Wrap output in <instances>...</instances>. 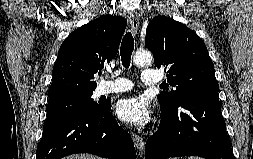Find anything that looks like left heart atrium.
Returning <instances> with one entry per match:
<instances>
[{"mask_svg":"<svg viewBox=\"0 0 253 159\" xmlns=\"http://www.w3.org/2000/svg\"><path fill=\"white\" fill-rule=\"evenodd\" d=\"M116 114L123 122L144 126L151 120V111L147 100L143 96H132L119 101Z\"/></svg>","mask_w":253,"mask_h":159,"instance_id":"left-heart-atrium-1","label":"left heart atrium"}]
</instances>
